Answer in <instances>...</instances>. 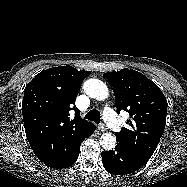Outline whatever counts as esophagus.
<instances>
[{
	"mask_svg": "<svg viewBox=\"0 0 187 187\" xmlns=\"http://www.w3.org/2000/svg\"><path fill=\"white\" fill-rule=\"evenodd\" d=\"M98 129L101 131V132H104L107 130V127L104 123H100L99 126H98Z\"/></svg>",
	"mask_w": 187,
	"mask_h": 187,
	"instance_id": "1",
	"label": "esophagus"
}]
</instances>
